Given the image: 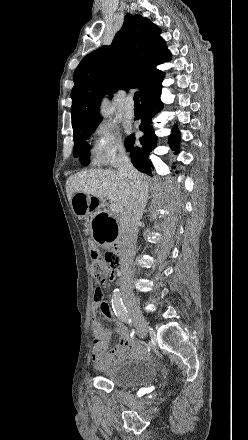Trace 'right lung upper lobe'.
Returning a JSON list of instances; mask_svg holds the SVG:
<instances>
[{
	"label": "right lung upper lobe",
	"instance_id": "cb5924a9",
	"mask_svg": "<svg viewBox=\"0 0 248 440\" xmlns=\"http://www.w3.org/2000/svg\"><path fill=\"white\" fill-rule=\"evenodd\" d=\"M159 33L147 18L128 13L111 46L82 59L71 91L74 135L97 128L102 121L98 107L105 94L138 88L142 101L161 90L164 73L156 65L170 60L171 54Z\"/></svg>",
	"mask_w": 248,
	"mask_h": 440
}]
</instances>
